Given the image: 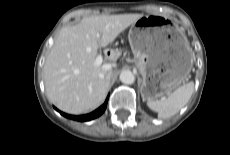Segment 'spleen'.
I'll return each instance as SVG.
<instances>
[{"label": "spleen", "instance_id": "1", "mask_svg": "<svg viewBox=\"0 0 230 155\" xmlns=\"http://www.w3.org/2000/svg\"><path fill=\"white\" fill-rule=\"evenodd\" d=\"M194 91V83L188 82L177 88L169 97L147 101L148 107L158 113L159 118H169L178 113L190 100Z\"/></svg>", "mask_w": 230, "mask_h": 155}]
</instances>
